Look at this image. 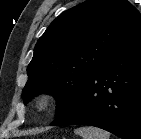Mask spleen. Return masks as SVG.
<instances>
[{
    "instance_id": "3e777b00",
    "label": "spleen",
    "mask_w": 141,
    "mask_h": 139,
    "mask_svg": "<svg viewBox=\"0 0 141 139\" xmlns=\"http://www.w3.org/2000/svg\"><path fill=\"white\" fill-rule=\"evenodd\" d=\"M83 139H110V134L93 126L81 127L75 131Z\"/></svg>"
}]
</instances>
